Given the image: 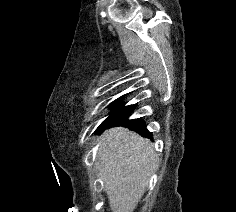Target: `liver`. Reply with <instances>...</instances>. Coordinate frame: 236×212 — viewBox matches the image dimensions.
Wrapping results in <instances>:
<instances>
[{"instance_id": "obj_1", "label": "liver", "mask_w": 236, "mask_h": 212, "mask_svg": "<svg viewBox=\"0 0 236 212\" xmlns=\"http://www.w3.org/2000/svg\"><path fill=\"white\" fill-rule=\"evenodd\" d=\"M157 155L148 139L123 127L110 129L99 145L96 169L113 212H133L151 177Z\"/></svg>"}]
</instances>
